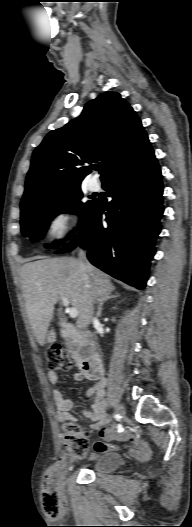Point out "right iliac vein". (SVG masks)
<instances>
[{
    "mask_svg": "<svg viewBox=\"0 0 192 527\" xmlns=\"http://www.w3.org/2000/svg\"><path fill=\"white\" fill-rule=\"evenodd\" d=\"M116 412L123 417L125 415V408L122 405L116 406Z\"/></svg>",
    "mask_w": 192,
    "mask_h": 527,
    "instance_id": "obj_1",
    "label": "right iliac vein"
}]
</instances>
